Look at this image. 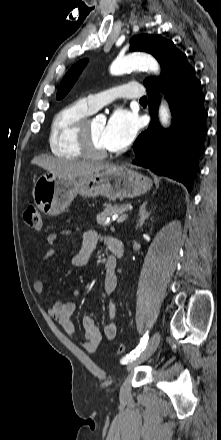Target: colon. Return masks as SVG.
<instances>
[{
    "instance_id": "1",
    "label": "colon",
    "mask_w": 221,
    "mask_h": 440,
    "mask_svg": "<svg viewBox=\"0 0 221 440\" xmlns=\"http://www.w3.org/2000/svg\"><path fill=\"white\" fill-rule=\"evenodd\" d=\"M24 219L27 223V225L34 229V230H40L42 228V219L41 214L37 207L35 206H29L24 212ZM125 351L124 344H119L117 346V353L122 354Z\"/></svg>"
}]
</instances>
